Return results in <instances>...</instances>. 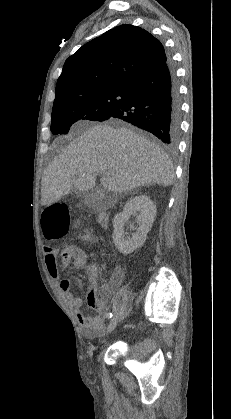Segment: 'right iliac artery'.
I'll use <instances>...</instances> for the list:
<instances>
[{"label":"right iliac artery","instance_id":"right-iliac-artery-1","mask_svg":"<svg viewBox=\"0 0 231 419\" xmlns=\"http://www.w3.org/2000/svg\"><path fill=\"white\" fill-rule=\"evenodd\" d=\"M106 317L109 319V318H111L112 317V313H107L106 314Z\"/></svg>","mask_w":231,"mask_h":419}]
</instances>
